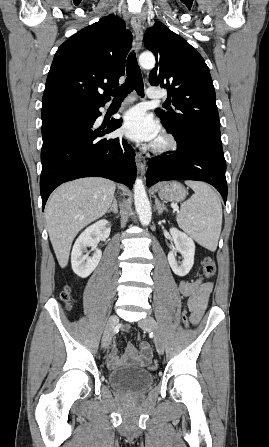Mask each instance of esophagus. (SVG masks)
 Returning a JSON list of instances; mask_svg holds the SVG:
<instances>
[{
	"instance_id": "obj_1",
	"label": "esophagus",
	"mask_w": 269,
	"mask_h": 447,
	"mask_svg": "<svg viewBox=\"0 0 269 447\" xmlns=\"http://www.w3.org/2000/svg\"><path fill=\"white\" fill-rule=\"evenodd\" d=\"M131 27L135 34V51L139 52L143 41V29L141 25V20L138 15H133L131 18ZM136 165L139 173L145 175L146 170V158L142 153L136 152L135 154Z\"/></svg>"
}]
</instances>
